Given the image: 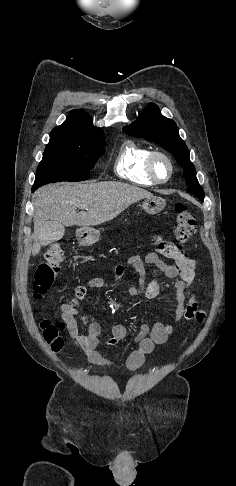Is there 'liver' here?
Returning <instances> with one entry per match:
<instances>
[{
	"label": "liver",
	"instance_id": "6515ba94",
	"mask_svg": "<svg viewBox=\"0 0 236 486\" xmlns=\"http://www.w3.org/2000/svg\"><path fill=\"white\" fill-rule=\"evenodd\" d=\"M153 194L121 182L65 183L40 188L34 195V243L32 255L40 252L50 221L65 226H96L117 217L131 204ZM80 207L86 211L76 212Z\"/></svg>",
	"mask_w": 236,
	"mask_h": 486
}]
</instances>
